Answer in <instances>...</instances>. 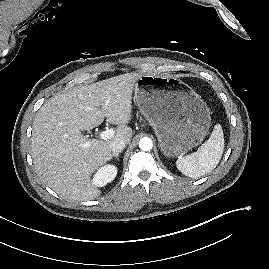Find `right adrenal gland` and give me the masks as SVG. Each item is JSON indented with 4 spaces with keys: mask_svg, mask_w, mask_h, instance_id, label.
Instances as JSON below:
<instances>
[{
    "mask_svg": "<svg viewBox=\"0 0 269 269\" xmlns=\"http://www.w3.org/2000/svg\"><path fill=\"white\" fill-rule=\"evenodd\" d=\"M121 152H122V151L113 153V154L111 155V158H110V159H112L113 157H116V158L118 159V156H119V154H120Z\"/></svg>",
    "mask_w": 269,
    "mask_h": 269,
    "instance_id": "obj_1",
    "label": "right adrenal gland"
}]
</instances>
